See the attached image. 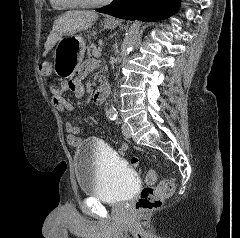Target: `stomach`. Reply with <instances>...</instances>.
Segmentation results:
<instances>
[{"label": "stomach", "mask_w": 240, "mask_h": 238, "mask_svg": "<svg viewBox=\"0 0 240 238\" xmlns=\"http://www.w3.org/2000/svg\"><path fill=\"white\" fill-rule=\"evenodd\" d=\"M118 22L104 23L106 29H114ZM85 42L80 35L61 37L54 51V71L61 78H69L81 64Z\"/></svg>", "instance_id": "obj_1"}]
</instances>
